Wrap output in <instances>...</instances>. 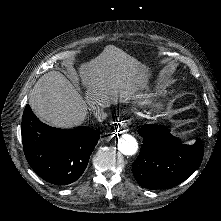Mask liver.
<instances>
[{"label": "liver", "mask_w": 221, "mask_h": 221, "mask_svg": "<svg viewBox=\"0 0 221 221\" xmlns=\"http://www.w3.org/2000/svg\"><path fill=\"white\" fill-rule=\"evenodd\" d=\"M112 49L105 47L97 58L80 66L82 80L88 86L86 100L61 72L43 74L29 95L34 114L51 126L70 129L84 122L88 105L109 106L118 96L120 102L128 100L136 83L129 68L116 61L122 53H111Z\"/></svg>", "instance_id": "liver-1"}]
</instances>
